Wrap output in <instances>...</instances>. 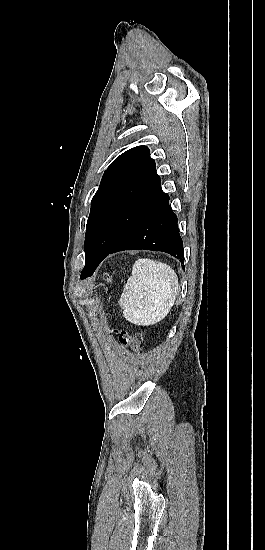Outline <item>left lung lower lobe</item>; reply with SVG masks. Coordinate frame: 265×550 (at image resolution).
Wrapping results in <instances>:
<instances>
[{
	"label": "left lung lower lobe",
	"instance_id": "obj_1",
	"mask_svg": "<svg viewBox=\"0 0 265 550\" xmlns=\"http://www.w3.org/2000/svg\"><path fill=\"white\" fill-rule=\"evenodd\" d=\"M140 249L163 251L182 262L183 242L179 235L177 217L169 206L167 194L137 221L110 250L101 253L93 249L89 252L85 257V267L80 278L91 276L101 261L111 253Z\"/></svg>",
	"mask_w": 265,
	"mask_h": 550
}]
</instances>
